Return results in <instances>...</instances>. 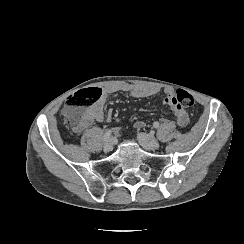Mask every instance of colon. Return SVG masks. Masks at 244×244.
Listing matches in <instances>:
<instances>
[{
    "label": "colon",
    "instance_id": "5ec220e1",
    "mask_svg": "<svg viewBox=\"0 0 244 244\" xmlns=\"http://www.w3.org/2000/svg\"><path fill=\"white\" fill-rule=\"evenodd\" d=\"M171 105L181 107H192L194 105V98L191 93L184 89H178L175 95L171 98ZM66 120L71 128H82L90 122L87 111L80 105L72 104L68 101L64 108Z\"/></svg>",
    "mask_w": 244,
    "mask_h": 244
}]
</instances>
